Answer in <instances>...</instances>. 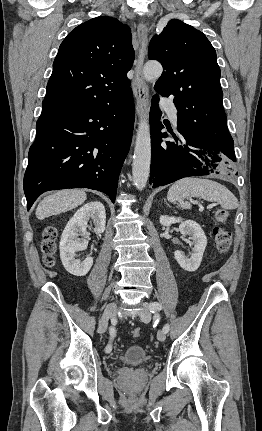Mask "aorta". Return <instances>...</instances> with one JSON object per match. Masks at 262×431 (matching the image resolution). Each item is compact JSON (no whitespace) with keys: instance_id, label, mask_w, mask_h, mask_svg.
Segmentation results:
<instances>
[{"instance_id":"1","label":"aorta","mask_w":262,"mask_h":431,"mask_svg":"<svg viewBox=\"0 0 262 431\" xmlns=\"http://www.w3.org/2000/svg\"><path fill=\"white\" fill-rule=\"evenodd\" d=\"M163 72L162 65L158 62H148L143 68L146 81L157 80ZM151 163V137L150 127L147 119L142 118L138 125L134 157L132 164V175L136 188L143 190L148 181Z\"/></svg>"}]
</instances>
